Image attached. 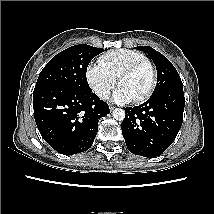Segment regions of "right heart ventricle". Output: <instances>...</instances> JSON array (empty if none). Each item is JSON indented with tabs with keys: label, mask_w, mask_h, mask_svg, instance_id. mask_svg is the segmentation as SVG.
Instances as JSON below:
<instances>
[{
	"label": "right heart ventricle",
	"mask_w": 214,
	"mask_h": 214,
	"mask_svg": "<svg viewBox=\"0 0 214 214\" xmlns=\"http://www.w3.org/2000/svg\"><path fill=\"white\" fill-rule=\"evenodd\" d=\"M142 52L132 49H116L109 51L99 58V61L115 78H118L123 69L132 63L144 59Z\"/></svg>",
	"instance_id": "obj_1"
}]
</instances>
